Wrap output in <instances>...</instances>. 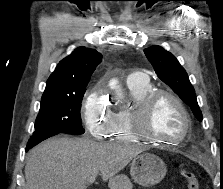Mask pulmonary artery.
I'll return each instance as SVG.
<instances>
[{"mask_svg": "<svg viewBox=\"0 0 223 189\" xmlns=\"http://www.w3.org/2000/svg\"><path fill=\"white\" fill-rule=\"evenodd\" d=\"M146 82H148V76L141 71L133 72L127 78V85H141Z\"/></svg>", "mask_w": 223, "mask_h": 189, "instance_id": "e3ab8cb5", "label": "pulmonary artery"}]
</instances>
